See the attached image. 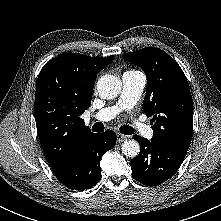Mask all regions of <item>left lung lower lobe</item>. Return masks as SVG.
Masks as SVG:
<instances>
[{
	"mask_svg": "<svg viewBox=\"0 0 221 221\" xmlns=\"http://www.w3.org/2000/svg\"><path fill=\"white\" fill-rule=\"evenodd\" d=\"M133 138L140 144V153L130 161L133 177L148 186L159 185L179 169L187 151L149 141L139 135Z\"/></svg>",
	"mask_w": 221,
	"mask_h": 221,
	"instance_id": "0a47b994",
	"label": "left lung lower lobe"
}]
</instances>
